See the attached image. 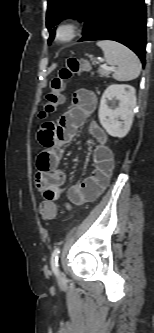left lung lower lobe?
<instances>
[{"label": "left lung lower lobe", "instance_id": "obj_1", "mask_svg": "<svg viewBox=\"0 0 154 333\" xmlns=\"http://www.w3.org/2000/svg\"><path fill=\"white\" fill-rule=\"evenodd\" d=\"M146 18L144 0H97L84 19L79 41H117L134 51L144 65ZM51 40L50 36L48 43Z\"/></svg>", "mask_w": 154, "mask_h": 333}]
</instances>
